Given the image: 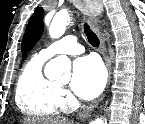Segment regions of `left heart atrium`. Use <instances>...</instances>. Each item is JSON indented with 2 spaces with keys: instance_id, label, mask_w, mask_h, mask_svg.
Returning <instances> with one entry per match:
<instances>
[{
  "instance_id": "1",
  "label": "left heart atrium",
  "mask_w": 145,
  "mask_h": 124,
  "mask_svg": "<svg viewBox=\"0 0 145 124\" xmlns=\"http://www.w3.org/2000/svg\"><path fill=\"white\" fill-rule=\"evenodd\" d=\"M106 75L101 62L94 56L77 58L73 63L71 88L83 99H93L104 88Z\"/></svg>"
}]
</instances>
